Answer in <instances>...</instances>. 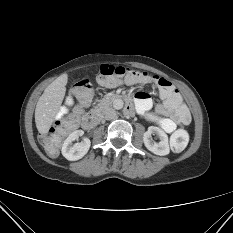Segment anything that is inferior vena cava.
<instances>
[{
  "label": "inferior vena cava",
  "instance_id": "inferior-vena-cava-1",
  "mask_svg": "<svg viewBox=\"0 0 233 233\" xmlns=\"http://www.w3.org/2000/svg\"><path fill=\"white\" fill-rule=\"evenodd\" d=\"M116 111L113 108H108L105 112V119L106 120H112L116 117Z\"/></svg>",
  "mask_w": 233,
  "mask_h": 233
}]
</instances>
